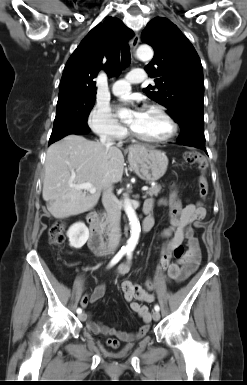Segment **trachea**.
<instances>
[{
    "mask_svg": "<svg viewBox=\"0 0 247 385\" xmlns=\"http://www.w3.org/2000/svg\"><path fill=\"white\" fill-rule=\"evenodd\" d=\"M121 59L123 67H127L131 61L130 47L125 44L121 49Z\"/></svg>",
    "mask_w": 247,
    "mask_h": 385,
    "instance_id": "trachea-1",
    "label": "trachea"
}]
</instances>
